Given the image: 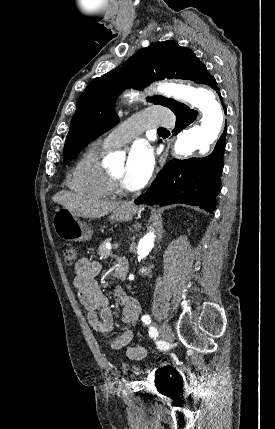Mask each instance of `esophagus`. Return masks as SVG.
<instances>
[{
	"label": "esophagus",
	"instance_id": "esophagus-1",
	"mask_svg": "<svg viewBox=\"0 0 275 429\" xmlns=\"http://www.w3.org/2000/svg\"><path fill=\"white\" fill-rule=\"evenodd\" d=\"M166 158H167V153L166 152L162 153L160 158H159V166L157 167L156 173L160 172L162 166L164 165V163L166 161Z\"/></svg>",
	"mask_w": 275,
	"mask_h": 429
}]
</instances>
